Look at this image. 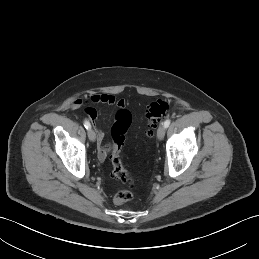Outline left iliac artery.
Returning <instances> with one entry per match:
<instances>
[{
	"instance_id": "1",
	"label": "left iliac artery",
	"mask_w": 259,
	"mask_h": 259,
	"mask_svg": "<svg viewBox=\"0 0 259 259\" xmlns=\"http://www.w3.org/2000/svg\"><path fill=\"white\" fill-rule=\"evenodd\" d=\"M170 123H171V120H170V119H167V120L164 122L165 128L169 127Z\"/></svg>"
}]
</instances>
